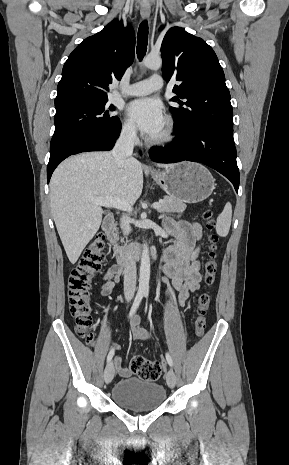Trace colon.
<instances>
[{"mask_svg": "<svg viewBox=\"0 0 289 465\" xmlns=\"http://www.w3.org/2000/svg\"><path fill=\"white\" fill-rule=\"evenodd\" d=\"M206 227L210 231L208 259L204 265V283L211 286L217 272V243L219 237L215 232L216 220L210 209L203 213ZM105 237L102 233L95 236L85 249L78 265L71 271L68 279V300L71 315L75 319L76 331L87 344L94 343L92 306L90 302V288L92 279L100 270L105 258ZM210 295L206 292L199 295L196 303L197 317L195 333L202 337L206 327V314L210 307ZM131 370L141 379L156 381L163 371V362L150 360L143 355L135 354L130 361Z\"/></svg>", "mask_w": 289, "mask_h": 465, "instance_id": "obj_1", "label": "colon"}]
</instances>
